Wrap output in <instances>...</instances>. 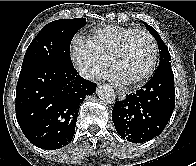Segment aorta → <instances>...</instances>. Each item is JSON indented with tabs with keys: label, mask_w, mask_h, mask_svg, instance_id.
<instances>
[{
	"label": "aorta",
	"mask_w": 196,
	"mask_h": 166,
	"mask_svg": "<svg viewBox=\"0 0 196 166\" xmlns=\"http://www.w3.org/2000/svg\"><path fill=\"white\" fill-rule=\"evenodd\" d=\"M96 93L98 97L106 103L113 104L115 102V98H116L115 92L111 88V86L107 84L100 85L97 88Z\"/></svg>",
	"instance_id": "1"
}]
</instances>
